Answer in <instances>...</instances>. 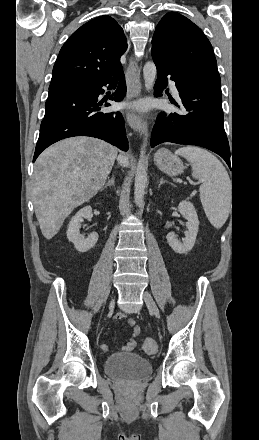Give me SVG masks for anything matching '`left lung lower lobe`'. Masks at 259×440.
Instances as JSON below:
<instances>
[{
    "instance_id": "obj_1",
    "label": "left lung lower lobe",
    "mask_w": 259,
    "mask_h": 440,
    "mask_svg": "<svg viewBox=\"0 0 259 440\" xmlns=\"http://www.w3.org/2000/svg\"><path fill=\"white\" fill-rule=\"evenodd\" d=\"M158 77L154 94L161 96L167 76L176 82L186 115H158L151 135V147L172 142L196 145L220 155L230 167V149L223 126L221 83L207 76L183 77L159 57L152 55ZM176 106L179 105L174 102Z\"/></svg>"
}]
</instances>
